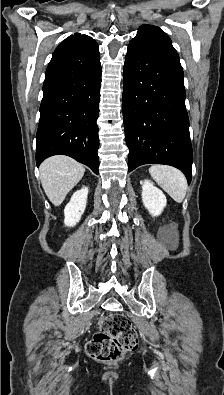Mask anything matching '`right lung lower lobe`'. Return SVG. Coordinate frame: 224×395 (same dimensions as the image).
Instances as JSON below:
<instances>
[{"instance_id": "obj_1", "label": "right lung lower lobe", "mask_w": 224, "mask_h": 395, "mask_svg": "<svg viewBox=\"0 0 224 395\" xmlns=\"http://www.w3.org/2000/svg\"><path fill=\"white\" fill-rule=\"evenodd\" d=\"M100 86L99 51H84L75 38L65 39L46 70L36 135L37 166L63 154L98 174Z\"/></svg>"}]
</instances>
